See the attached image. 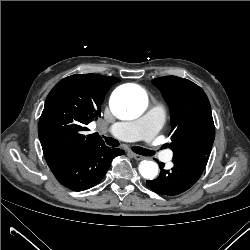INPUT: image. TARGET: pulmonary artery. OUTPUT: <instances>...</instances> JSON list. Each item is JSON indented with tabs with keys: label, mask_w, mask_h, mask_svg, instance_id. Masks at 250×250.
Returning <instances> with one entry per match:
<instances>
[{
	"label": "pulmonary artery",
	"mask_w": 250,
	"mask_h": 250,
	"mask_svg": "<svg viewBox=\"0 0 250 250\" xmlns=\"http://www.w3.org/2000/svg\"><path fill=\"white\" fill-rule=\"evenodd\" d=\"M164 122V111L157 106L152 108L147 115L137 122H117L109 127V131L119 137L128 141L147 140L157 130L160 129ZM154 154L158 153L157 148H152ZM164 161H170L173 157L172 151H164L161 154Z\"/></svg>",
	"instance_id": "pulmonary-artery-1"
}]
</instances>
